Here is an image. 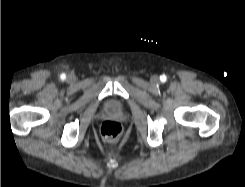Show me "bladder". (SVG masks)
Segmentation results:
<instances>
[{"label": "bladder", "mask_w": 245, "mask_h": 187, "mask_svg": "<svg viewBox=\"0 0 245 187\" xmlns=\"http://www.w3.org/2000/svg\"><path fill=\"white\" fill-rule=\"evenodd\" d=\"M107 108L111 112H118L121 109L120 105L116 101H109Z\"/></svg>", "instance_id": "obj_1"}]
</instances>
